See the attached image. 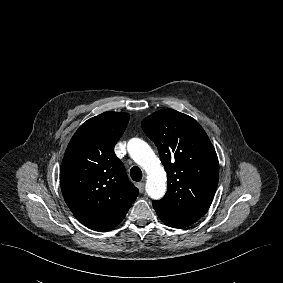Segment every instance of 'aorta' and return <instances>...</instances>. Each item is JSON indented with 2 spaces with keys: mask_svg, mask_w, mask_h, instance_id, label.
<instances>
[{
  "mask_svg": "<svg viewBox=\"0 0 283 283\" xmlns=\"http://www.w3.org/2000/svg\"><path fill=\"white\" fill-rule=\"evenodd\" d=\"M131 158L147 173L146 192L152 199H161L166 192V172L152 148L143 140L130 139L127 145Z\"/></svg>",
  "mask_w": 283,
  "mask_h": 283,
  "instance_id": "obj_1",
  "label": "aorta"
}]
</instances>
